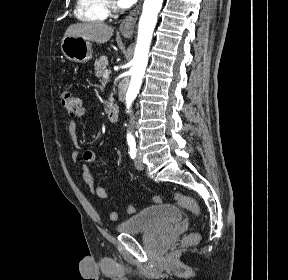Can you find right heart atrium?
<instances>
[{
  "instance_id": "1",
  "label": "right heart atrium",
  "mask_w": 288,
  "mask_h": 280,
  "mask_svg": "<svg viewBox=\"0 0 288 280\" xmlns=\"http://www.w3.org/2000/svg\"><path fill=\"white\" fill-rule=\"evenodd\" d=\"M108 8L109 10H113L114 9V3L112 0H108Z\"/></svg>"
}]
</instances>
